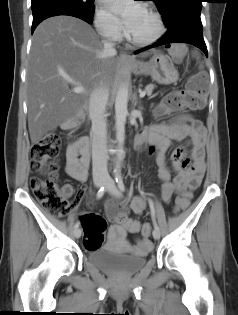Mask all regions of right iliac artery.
Wrapping results in <instances>:
<instances>
[{
    "label": "right iliac artery",
    "mask_w": 238,
    "mask_h": 315,
    "mask_svg": "<svg viewBox=\"0 0 238 315\" xmlns=\"http://www.w3.org/2000/svg\"><path fill=\"white\" fill-rule=\"evenodd\" d=\"M106 187H107V186L104 185V186H102V187L98 190V192H97V198H101V197L104 195V193H105V191H106ZM79 225H80V223H79V222H76L75 228H78Z\"/></svg>",
    "instance_id": "right-iliac-artery-1"
}]
</instances>
